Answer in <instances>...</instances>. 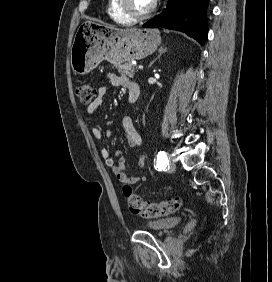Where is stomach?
<instances>
[{"mask_svg": "<svg viewBox=\"0 0 272 282\" xmlns=\"http://www.w3.org/2000/svg\"><path fill=\"white\" fill-rule=\"evenodd\" d=\"M161 37L154 29H119L86 22L79 27L70 51L75 74L84 75L103 60L113 64L143 59L156 51Z\"/></svg>", "mask_w": 272, "mask_h": 282, "instance_id": "obj_1", "label": "stomach"}]
</instances>
